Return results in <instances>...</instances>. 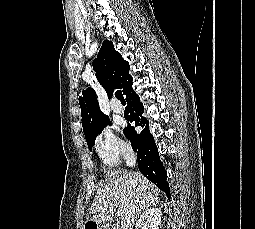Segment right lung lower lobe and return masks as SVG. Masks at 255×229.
<instances>
[{
  "label": "right lung lower lobe",
  "mask_w": 255,
  "mask_h": 229,
  "mask_svg": "<svg viewBox=\"0 0 255 229\" xmlns=\"http://www.w3.org/2000/svg\"><path fill=\"white\" fill-rule=\"evenodd\" d=\"M128 107L125 111V119L135 127L143 129L137 133L135 127L130 124L124 129L125 135L131 141L133 150L137 153L138 167L140 172L159 189L164 191L170 199V188L167 182V173L159 158V152L154 138L149 131L148 120L142 116L143 105L138 95L132 89V78L130 76L126 90Z\"/></svg>",
  "instance_id": "right-lung-lower-lobe-1"
}]
</instances>
